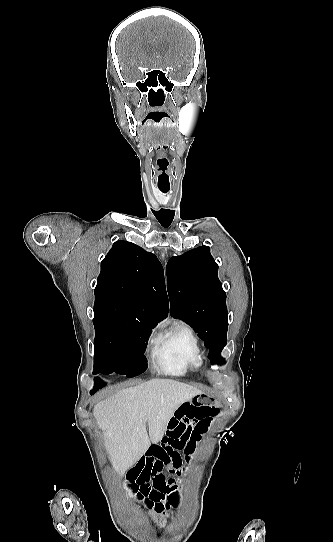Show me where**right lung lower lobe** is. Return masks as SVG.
Returning <instances> with one entry per match:
<instances>
[{"label":"right lung lower lobe","instance_id":"1","mask_svg":"<svg viewBox=\"0 0 333 542\" xmlns=\"http://www.w3.org/2000/svg\"><path fill=\"white\" fill-rule=\"evenodd\" d=\"M96 375V374H94ZM95 384H94V388L92 389V391L90 392L91 394H93L96 390H98L99 388L105 386L106 384L101 381L99 378H95Z\"/></svg>","mask_w":333,"mask_h":542}]
</instances>
